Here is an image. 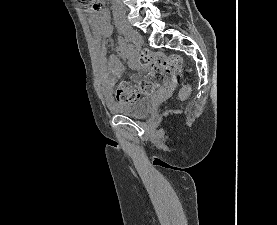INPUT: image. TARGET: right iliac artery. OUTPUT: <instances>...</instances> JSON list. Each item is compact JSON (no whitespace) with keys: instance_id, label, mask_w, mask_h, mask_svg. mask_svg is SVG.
<instances>
[{"instance_id":"1","label":"right iliac artery","mask_w":277,"mask_h":225,"mask_svg":"<svg viewBox=\"0 0 277 225\" xmlns=\"http://www.w3.org/2000/svg\"><path fill=\"white\" fill-rule=\"evenodd\" d=\"M128 47H129V49H133L134 48V44L132 43L131 40L128 41Z\"/></svg>"}]
</instances>
